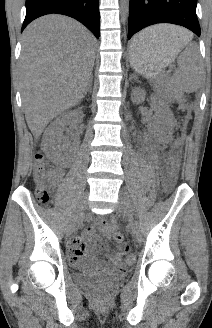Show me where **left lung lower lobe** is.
Listing matches in <instances>:
<instances>
[{
  "label": "left lung lower lobe",
  "mask_w": 212,
  "mask_h": 328,
  "mask_svg": "<svg viewBox=\"0 0 212 328\" xmlns=\"http://www.w3.org/2000/svg\"><path fill=\"white\" fill-rule=\"evenodd\" d=\"M196 5L197 0H130L128 39L157 23L181 25L200 36ZM133 47L139 48L141 44L135 43Z\"/></svg>",
  "instance_id": "left-lung-lower-lobe-1"
}]
</instances>
